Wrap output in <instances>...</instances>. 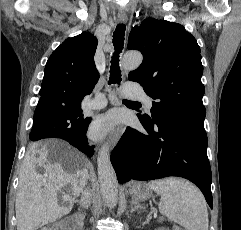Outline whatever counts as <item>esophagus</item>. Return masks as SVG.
<instances>
[{"mask_svg": "<svg viewBox=\"0 0 241 230\" xmlns=\"http://www.w3.org/2000/svg\"><path fill=\"white\" fill-rule=\"evenodd\" d=\"M117 20L119 23H126L127 15L124 13H120L117 15ZM123 130H124L123 127L119 126L113 131L112 136L110 137V146L111 147L115 146V144L117 143L118 139L120 138Z\"/></svg>", "mask_w": 241, "mask_h": 230, "instance_id": "obj_1", "label": "esophagus"}]
</instances>
